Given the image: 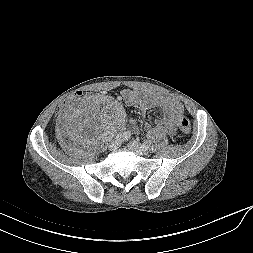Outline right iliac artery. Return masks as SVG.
Masks as SVG:
<instances>
[{"instance_id":"82829eb1","label":"right iliac artery","mask_w":253,"mask_h":253,"mask_svg":"<svg viewBox=\"0 0 253 253\" xmlns=\"http://www.w3.org/2000/svg\"><path fill=\"white\" fill-rule=\"evenodd\" d=\"M120 137H121L122 139H124V140H128V139L131 137V133H130V131H125L124 133H122V134L120 135Z\"/></svg>"}]
</instances>
